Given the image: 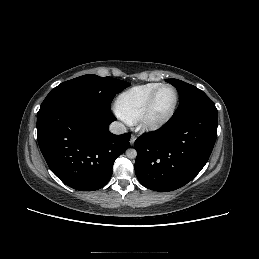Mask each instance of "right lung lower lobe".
I'll return each instance as SVG.
<instances>
[{"mask_svg":"<svg viewBox=\"0 0 259 259\" xmlns=\"http://www.w3.org/2000/svg\"><path fill=\"white\" fill-rule=\"evenodd\" d=\"M110 109L79 99L39 110L37 139L50 170L66 185L94 191L111 178L114 161L129 147L130 134L115 135Z\"/></svg>","mask_w":259,"mask_h":259,"instance_id":"obj_1","label":"right lung lower lobe"}]
</instances>
